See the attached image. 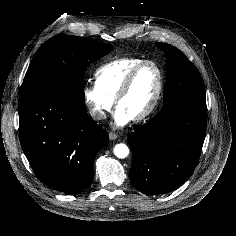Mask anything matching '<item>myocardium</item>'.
Returning <instances> with one entry per match:
<instances>
[{"label":"myocardium","mask_w":236,"mask_h":236,"mask_svg":"<svg viewBox=\"0 0 236 236\" xmlns=\"http://www.w3.org/2000/svg\"><path fill=\"white\" fill-rule=\"evenodd\" d=\"M146 65H152L155 67V69L158 72V87L156 90V93L154 95V98L149 105V107L142 112L141 114L135 116L132 118L134 122H141L143 120H146L149 118L157 109V107L160 104L163 91H164V84H165V75L162 67L154 60H144L141 63H139L137 66H135L126 76L124 79L116 97H115V105L118 107L119 102L124 98V96L128 93L129 89L132 86V83L138 74V72Z\"/></svg>","instance_id":"myocardium-1"}]
</instances>
